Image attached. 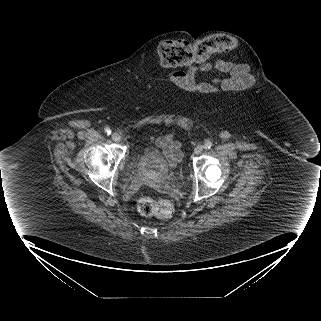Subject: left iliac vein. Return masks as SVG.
<instances>
[{
    "label": "left iliac vein",
    "mask_w": 321,
    "mask_h": 321,
    "mask_svg": "<svg viewBox=\"0 0 321 321\" xmlns=\"http://www.w3.org/2000/svg\"><path fill=\"white\" fill-rule=\"evenodd\" d=\"M203 150H204L203 145L199 144V145H197V146L195 147L194 153H195L196 155H198V154L202 153Z\"/></svg>",
    "instance_id": "1"
}]
</instances>
